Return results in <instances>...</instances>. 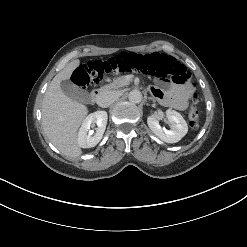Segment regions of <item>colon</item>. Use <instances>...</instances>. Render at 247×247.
Masks as SVG:
<instances>
[{
    "mask_svg": "<svg viewBox=\"0 0 247 247\" xmlns=\"http://www.w3.org/2000/svg\"><path fill=\"white\" fill-rule=\"evenodd\" d=\"M137 71L162 79H170L177 84H188L191 88L189 125L199 126L200 112L196 108L198 94L196 84L191 81L186 67L172 56L164 53H124L107 61H91L78 67L73 73L74 84L81 89L96 85L105 75Z\"/></svg>",
    "mask_w": 247,
    "mask_h": 247,
    "instance_id": "colon-1",
    "label": "colon"
}]
</instances>
